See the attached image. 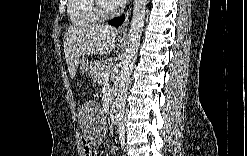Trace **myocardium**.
Here are the masks:
<instances>
[{
    "instance_id": "obj_1",
    "label": "myocardium",
    "mask_w": 247,
    "mask_h": 156,
    "mask_svg": "<svg viewBox=\"0 0 247 156\" xmlns=\"http://www.w3.org/2000/svg\"><path fill=\"white\" fill-rule=\"evenodd\" d=\"M104 2L106 1L97 0V1H93L92 3V10L95 16L100 21H104L116 17L120 12V9L117 5H113L110 9H106L104 7Z\"/></svg>"
}]
</instances>
